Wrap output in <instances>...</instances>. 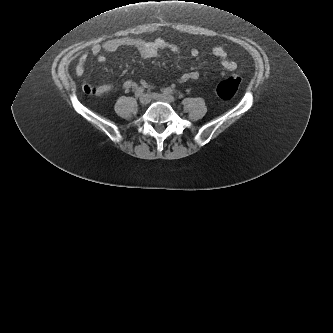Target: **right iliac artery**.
<instances>
[{"label": "right iliac artery", "instance_id": "right-iliac-artery-1", "mask_svg": "<svg viewBox=\"0 0 333 333\" xmlns=\"http://www.w3.org/2000/svg\"><path fill=\"white\" fill-rule=\"evenodd\" d=\"M143 92H144L143 87H138L136 92H135V96L139 97L143 94Z\"/></svg>", "mask_w": 333, "mask_h": 333}]
</instances>
